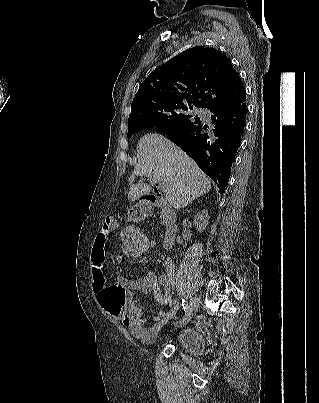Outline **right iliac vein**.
I'll return each instance as SVG.
<instances>
[{"instance_id":"1","label":"right iliac vein","mask_w":319,"mask_h":403,"mask_svg":"<svg viewBox=\"0 0 319 403\" xmlns=\"http://www.w3.org/2000/svg\"><path fill=\"white\" fill-rule=\"evenodd\" d=\"M198 306V300L196 298H192L186 316L181 323V327L187 325L192 320L198 310Z\"/></svg>"}]
</instances>
